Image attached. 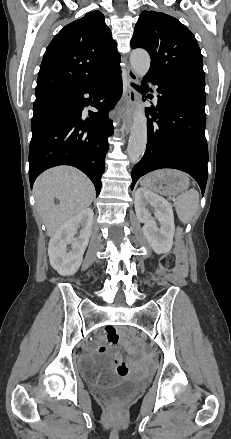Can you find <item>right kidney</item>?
Listing matches in <instances>:
<instances>
[{
	"label": "right kidney",
	"instance_id": "1",
	"mask_svg": "<svg viewBox=\"0 0 231 439\" xmlns=\"http://www.w3.org/2000/svg\"><path fill=\"white\" fill-rule=\"evenodd\" d=\"M94 212L87 208L63 224L51 237L48 255L51 266L63 276H71L80 267L91 234ZM81 227L80 236L74 235ZM71 244V250L67 245Z\"/></svg>",
	"mask_w": 231,
	"mask_h": 439
}]
</instances>
